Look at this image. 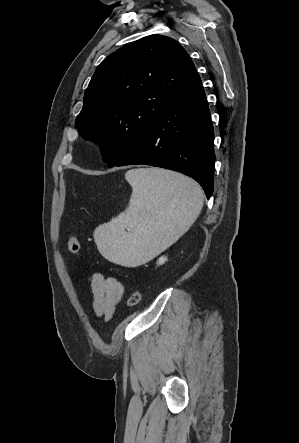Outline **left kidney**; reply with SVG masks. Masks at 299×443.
Returning a JSON list of instances; mask_svg holds the SVG:
<instances>
[{"instance_id": "obj_1", "label": "left kidney", "mask_w": 299, "mask_h": 443, "mask_svg": "<svg viewBox=\"0 0 299 443\" xmlns=\"http://www.w3.org/2000/svg\"><path fill=\"white\" fill-rule=\"evenodd\" d=\"M167 261V257L165 256H161L158 261H157V265H162Z\"/></svg>"}]
</instances>
